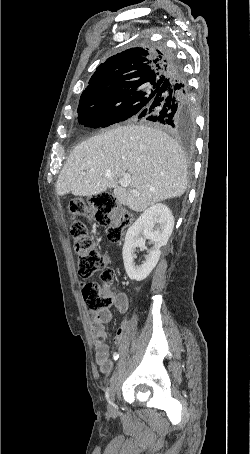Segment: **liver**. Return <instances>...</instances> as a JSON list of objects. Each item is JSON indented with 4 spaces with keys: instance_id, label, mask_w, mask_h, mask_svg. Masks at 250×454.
<instances>
[{
    "instance_id": "6515ba94",
    "label": "liver",
    "mask_w": 250,
    "mask_h": 454,
    "mask_svg": "<svg viewBox=\"0 0 250 454\" xmlns=\"http://www.w3.org/2000/svg\"><path fill=\"white\" fill-rule=\"evenodd\" d=\"M125 175L131 179L128 189L118 182ZM187 183V163L174 139L152 127L127 125L77 145L58 176L56 189L60 196H92L114 188L119 203L141 212L182 196Z\"/></svg>"
}]
</instances>
